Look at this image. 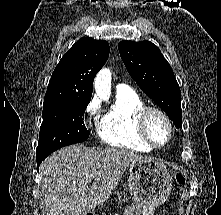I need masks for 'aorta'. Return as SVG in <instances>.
<instances>
[{"instance_id":"obj_1","label":"aorta","mask_w":221,"mask_h":215,"mask_svg":"<svg viewBox=\"0 0 221 215\" xmlns=\"http://www.w3.org/2000/svg\"><path fill=\"white\" fill-rule=\"evenodd\" d=\"M94 89L99 97L109 98L111 94V71L103 68L96 76Z\"/></svg>"}]
</instances>
